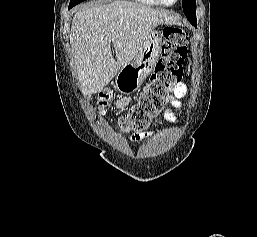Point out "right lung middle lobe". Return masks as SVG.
I'll use <instances>...</instances> for the list:
<instances>
[{
    "label": "right lung middle lobe",
    "mask_w": 257,
    "mask_h": 237,
    "mask_svg": "<svg viewBox=\"0 0 257 237\" xmlns=\"http://www.w3.org/2000/svg\"><path fill=\"white\" fill-rule=\"evenodd\" d=\"M85 0H70V3H69V7H74L75 5H77L78 3L80 2H83Z\"/></svg>",
    "instance_id": "dd1d6c3e"
}]
</instances>
